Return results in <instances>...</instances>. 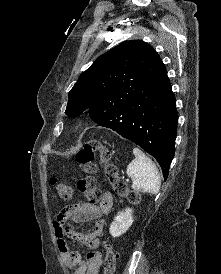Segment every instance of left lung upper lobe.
<instances>
[{"label":"left lung upper lobe","mask_w":221,"mask_h":274,"mask_svg":"<svg viewBox=\"0 0 221 274\" xmlns=\"http://www.w3.org/2000/svg\"><path fill=\"white\" fill-rule=\"evenodd\" d=\"M163 64L157 52L141 40L124 41L98 57L71 91L65 113L77 117L112 110L137 97Z\"/></svg>","instance_id":"5c2ea615"}]
</instances>
